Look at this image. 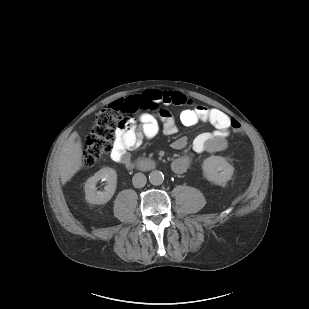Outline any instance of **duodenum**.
<instances>
[{"mask_svg": "<svg viewBox=\"0 0 309 309\" xmlns=\"http://www.w3.org/2000/svg\"><path fill=\"white\" fill-rule=\"evenodd\" d=\"M136 166L141 169L148 170L154 168V163L148 160H139L136 162Z\"/></svg>", "mask_w": 309, "mask_h": 309, "instance_id": "410a0bca", "label": "duodenum"}]
</instances>
